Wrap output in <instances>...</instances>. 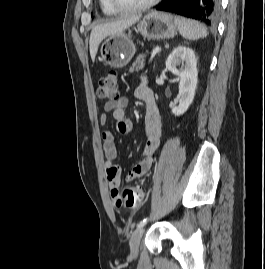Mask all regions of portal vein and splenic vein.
<instances>
[{"label":"portal vein and splenic vein","instance_id":"portal-vein-and-splenic-vein-1","mask_svg":"<svg viewBox=\"0 0 265 269\" xmlns=\"http://www.w3.org/2000/svg\"><path fill=\"white\" fill-rule=\"evenodd\" d=\"M160 51H161V48H160V47H156V48H154L153 51H152V54H151V59H152L157 53H159Z\"/></svg>","mask_w":265,"mask_h":269}]
</instances>
